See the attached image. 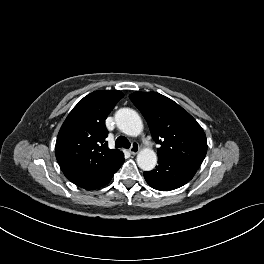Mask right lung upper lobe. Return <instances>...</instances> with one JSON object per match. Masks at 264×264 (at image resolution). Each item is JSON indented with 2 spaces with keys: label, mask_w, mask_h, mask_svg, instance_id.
Instances as JSON below:
<instances>
[{
  "label": "right lung upper lobe",
  "mask_w": 264,
  "mask_h": 264,
  "mask_svg": "<svg viewBox=\"0 0 264 264\" xmlns=\"http://www.w3.org/2000/svg\"><path fill=\"white\" fill-rule=\"evenodd\" d=\"M123 96L117 90L92 92L67 116L57 136L55 155L71 182L98 172L122 154L108 148L105 119Z\"/></svg>",
  "instance_id": "right-lung-upper-lobe-1"
}]
</instances>
